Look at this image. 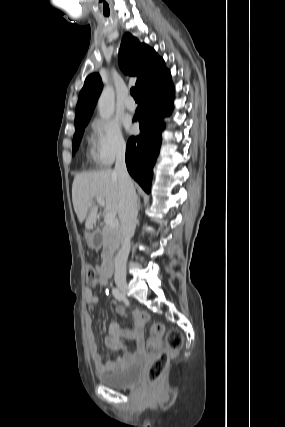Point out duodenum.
<instances>
[{"label":"duodenum","instance_id":"410a0bca","mask_svg":"<svg viewBox=\"0 0 285 427\" xmlns=\"http://www.w3.org/2000/svg\"><path fill=\"white\" fill-rule=\"evenodd\" d=\"M114 268V257L112 253H108L106 261L104 263V274L106 277H109Z\"/></svg>","mask_w":285,"mask_h":427}]
</instances>
